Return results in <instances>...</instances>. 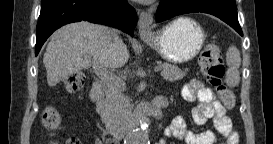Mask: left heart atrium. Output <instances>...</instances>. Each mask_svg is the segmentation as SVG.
I'll return each instance as SVG.
<instances>
[{
  "instance_id": "1",
  "label": "left heart atrium",
  "mask_w": 273,
  "mask_h": 144,
  "mask_svg": "<svg viewBox=\"0 0 273 144\" xmlns=\"http://www.w3.org/2000/svg\"><path fill=\"white\" fill-rule=\"evenodd\" d=\"M144 3H150L152 0H141Z\"/></svg>"
}]
</instances>
